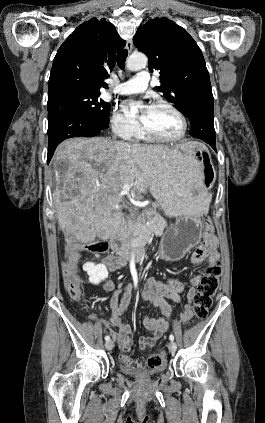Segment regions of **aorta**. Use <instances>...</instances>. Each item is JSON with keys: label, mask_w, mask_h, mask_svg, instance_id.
I'll list each match as a JSON object with an SVG mask.
<instances>
[{"label": "aorta", "mask_w": 265, "mask_h": 423, "mask_svg": "<svg viewBox=\"0 0 265 423\" xmlns=\"http://www.w3.org/2000/svg\"><path fill=\"white\" fill-rule=\"evenodd\" d=\"M148 63V59L146 55L138 53V54H132L128 60L126 67L130 71H137L142 68H145ZM136 107H140V104H137ZM131 262L134 263V253L131 255Z\"/></svg>", "instance_id": "762f6f07"}]
</instances>
